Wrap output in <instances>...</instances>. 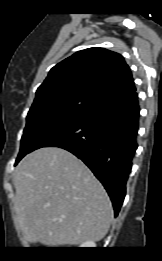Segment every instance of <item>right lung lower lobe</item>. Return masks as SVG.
I'll list each match as a JSON object with an SVG mask.
<instances>
[{"label": "right lung lower lobe", "mask_w": 162, "mask_h": 261, "mask_svg": "<svg viewBox=\"0 0 162 261\" xmlns=\"http://www.w3.org/2000/svg\"><path fill=\"white\" fill-rule=\"evenodd\" d=\"M139 113L136 91L111 98L55 129L34 150L55 146L81 159L104 185L118 215L137 149Z\"/></svg>", "instance_id": "98d812e1"}]
</instances>
